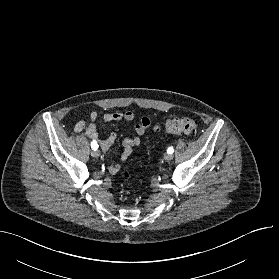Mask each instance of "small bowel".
Here are the masks:
<instances>
[{
	"label": "small bowel",
	"mask_w": 279,
	"mask_h": 279,
	"mask_svg": "<svg viewBox=\"0 0 279 279\" xmlns=\"http://www.w3.org/2000/svg\"><path fill=\"white\" fill-rule=\"evenodd\" d=\"M103 120L105 122H116L125 121L133 123L134 135L132 137L124 139L123 151L121 154V162H125L133 153V150L138 147L141 143V137L146 133L151 125L149 117H142L139 120H135V114L132 111L125 112H104V111H93L90 114V122L78 121L74 130L76 132H84L93 141L98 142L102 151L107 152L110 147L114 144L117 136L114 132H111L106 138L99 139L97 132V122ZM121 168L120 164H112L108 166V171L111 174H116Z\"/></svg>",
	"instance_id": "1"
}]
</instances>
